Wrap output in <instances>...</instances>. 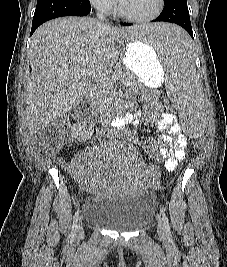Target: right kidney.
<instances>
[{"label": "right kidney", "mask_w": 227, "mask_h": 267, "mask_svg": "<svg viewBox=\"0 0 227 267\" xmlns=\"http://www.w3.org/2000/svg\"><path fill=\"white\" fill-rule=\"evenodd\" d=\"M93 127L85 124H74L72 126V137L79 142H85L91 139L93 134Z\"/></svg>", "instance_id": "ca27d5eb"}]
</instances>
